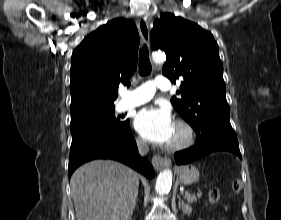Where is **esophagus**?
I'll return each instance as SVG.
<instances>
[{
	"mask_svg": "<svg viewBox=\"0 0 281 220\" xmlns=\"http://www.w3.org/2000/svg\"><path fill=\"white\" fill-rule=\"evenodd\" d=\"M138 29L142 41L149 46L150 45V30L146 18L141 17L138 21ZM152 164L156 169L168 168L172 165L171 159L155 155L152 158Z\"/></svg>",
	"mask_w": 281,
	"mask_h": 220,
	"instance_id": "obj_1",
	"label": "esophagus"
}]
</instances>
